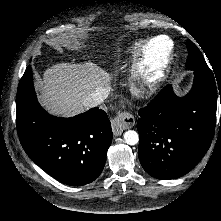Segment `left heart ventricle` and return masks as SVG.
<instances>
[{
  "label": "left heart ventricle",
  "mask_w": 221,
  "mask_h": 221,
  "mask_svg": "<svg viewBox=\"0 0 221 221\" xmlns=\"http://www.w3.org/2000/svg\"><path fill=\"white\" fill-rule=\"evenodd\" d=\"M168 48V42L165 38H158L154 41L151 51L155 56H161Z\"/></svg>",
  "instance_id": "obj_1"
}]
</instances>
